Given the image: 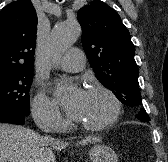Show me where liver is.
Listing matches in <instances>:
<instances>
[{"instance_id": "liver-1", "label": "liver", "mask_w": 168, "mask_h": 162, "mask_svg": "<svg viewBox=\"0 0 168 162\" xmlns=\"http://www.w3.org/2000/svg\"><path fill=\"white\" fill-rule=\"evenodd\" d=\"M97 141L89 137L78 144ZM67 146V142L46 139L28 128L0 123V162H56L53 150Z\"/></svg>"}]
</instances>
